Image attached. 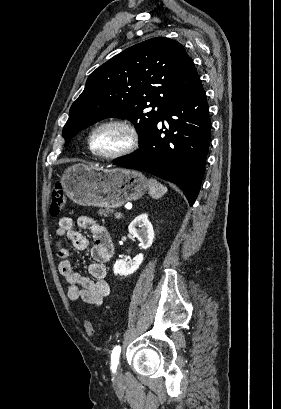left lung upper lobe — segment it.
Wrapping results in <instances>:
<instances>
[{
    "mask_svg": "<svg viewBox=\"0 0 281 409\" xmlns=\"http://www.w3.org/2000/svg\"><path fill=\"white\" fill-rule=\"evenodd\" d=\"M196 75L192 59L172 39L156 37L124 50L88 77L63 128L65 146L77 132L108 117L130 120L144 140Z\"/></svg>",
    "mask_w": 281,
    "mask_h": 409,
    "instance_id": "left-lung-upper-lobe-1",
    "label": "left lung upper lobe"
}]
</instances>
